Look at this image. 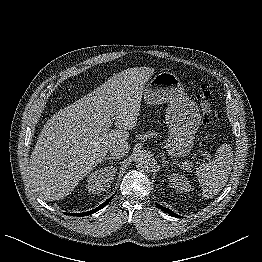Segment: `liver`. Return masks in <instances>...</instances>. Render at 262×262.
Returning a JSON list of instances; mask_svg holds the SVG:
<instances>
[{"label":"liver","instance_id":"1","mask_svg":"<svg viewBox=\"0 0 262 262\" xmlns=\"http://www.w3.org/2000/svg\"><path fill=\"white\" fill-rule=\"evenodd\" d=\"M154 69L124 70L44 125L31 154L28 178L42 198L63 199L101 163L110 147L136 126L145 84ZM112 117L117 130L103 127Z\"/></svg>","mask_w":262,"mask_h":262}]
</instances>
